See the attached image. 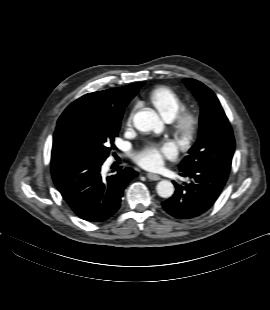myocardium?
Returning <instances> with one entry per match:
<instances>
[{
    "label": "myocardium",
    "instance_id": "f54148a6",
    "mask_svg": "<svg viewBox=\"0 0 270 310\" xmlns=\"http://www.w3.org/2000/svg\"><path fill=\"white\" fill-rule=\"evenodd\" d=\"M171 122L175 136L183 142H188L195 136L200 118L195 109L182 108Z\"/></svg>",
    "mask_w": 270,
    "mask_h": 310
}]
</instances>
